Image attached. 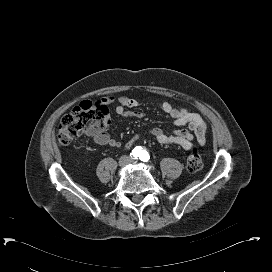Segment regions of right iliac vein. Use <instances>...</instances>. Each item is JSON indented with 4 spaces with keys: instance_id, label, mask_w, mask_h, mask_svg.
Masks as SVG:
<instances>
[{
    "instance_id": "1",
    "label": "right iliac vein",
    "mask_w": 272,
    "mask_h": 272,
    "mask_svg": "<svg viewBox=\"0 0 272 272\" xmlns=\"http://www.w3.org/2000/svg\"><path fill=\"white\" fill-rule=\"evenodd\" d=\"M128 162H129V159H128V157H125V156L121 157L120 160H119V164H120L121 166L127 165Z\"/></svg>"
}]
</instances>
